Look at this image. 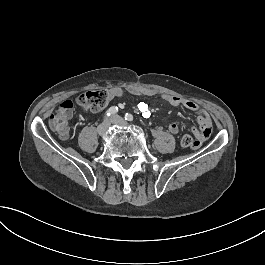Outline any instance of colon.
Instances as JSON below:
<instances>
[{"mask_svg": "<svg viewBox=\"0 0 265 265\" xmlns=\"http://www.w3.org/2000/svg\"><path fill=\"white\" fill-rule=\"evenodd\" d=\"M111 93L106 89L88 90L78 97L71 95L66 102L54 113L49 120L50 127L57 131L62 139L68 137L66 128L67 113L71 111L72 105L76 103L86 112L95 113L103 110L111 101ZM195 136V135H194ZM194 136L185 135L181 139L183 146L191 148Z\"/></svg>", "mask_w": 265, "mask_h": 265, "instance_id": "5ec220e1", "label": "colon"}]
</instances>
